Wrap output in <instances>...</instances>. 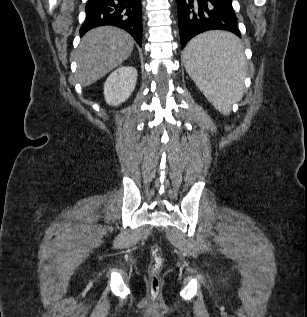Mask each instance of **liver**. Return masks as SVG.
<instances>
[{"mask_svg":"<svg viewBox=\"0 0 307 317\" xmlns=\"http://www.w3.org/2000/svg\"><path fill=\"white\" fill-rule=\"evenodd\" d=\"M134 48L133 38L124 30L102 26L87 32L77 49V77L86 87L121 65Z\"/></svg>","mask_w":307,"mask_h":317,"instance_id":"obj_1","label":"liver"}]
</instances>
